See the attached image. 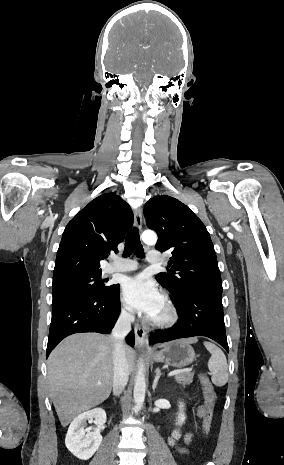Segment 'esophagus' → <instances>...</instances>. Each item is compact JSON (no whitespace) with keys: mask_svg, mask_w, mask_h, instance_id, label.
Here are the masks:
<instances>
[{"mask_svg":"<svg viewBox=\"0 0 284 465\" xmlns=\"http://www.w3.org/2000/svg\"><path fill=\"white\" fill-rule=\"evenodd\" d=\"M134 224L135 226L141 230L142 228V210L138 208L134 211ZM134 333H135V341L138 347H146L147 346V332L144 328L139 325L134 326Z\"/></svg>","mask_w":284,"mask_h":465,"instance_id":"esophagus-1","label":"esophagus"}]
</instances>
